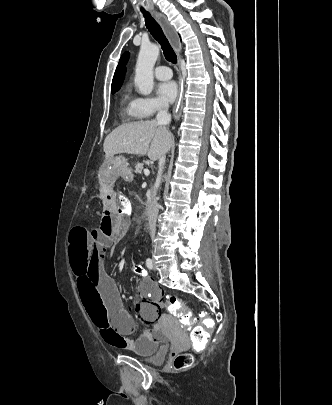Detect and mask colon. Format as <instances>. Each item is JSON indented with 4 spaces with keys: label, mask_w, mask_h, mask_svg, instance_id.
<instances>
[{
    "label": "colon",
    "mask_w": 332,
    "mask_h": 405,
    "mask_svg": "<svg viewBox=\"0 0 332 405\" xmlns=\"http://www.w3.org/2000/svg\"><path fill=\"white\" fill-rule=\"evenodd\" d=\"M113 205L115 207L116 214H120L121 216L131 215L132 201L128 199L123 192L117 191V203ZM132 266L133 273H140L141 278L147 277V272L144 271L145 269L142 263L136 261ZM165 304L169 312L178 317L185 328H192L194 326L191 311L178 297L174 295H166ZM197 320L200 325L192 330L190 337L195 346L202 347L208 341L214 319L212 315H199ZM191 363L192 358L189 354L184 352H177L173 354V366L175 369H184L190 366Z\"/></svg>",
    "instance_id": "obj_1"
}]
</instances>
